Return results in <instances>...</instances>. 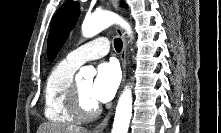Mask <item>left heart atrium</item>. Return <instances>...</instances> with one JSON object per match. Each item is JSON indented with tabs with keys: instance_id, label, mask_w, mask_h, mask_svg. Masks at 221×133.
Wrapping results in <instances>:
<instances>
[{
	"instance_id": "1",
	"label": "left heart atrium",
	"mask_w": 221,
	"mask_h": 133,
	"mask_svg": "<svg viewBox=\"0 0 221 133\" xmlns=\"http://www.w3.org/2000/svg\"><path fill=\"white\" fill-rule=\"evenodd\" d=\"M120 72L114 62H104L97 67L96 77L91 87L94 102L110 101L119 86Z\"/></svg>"
}]
</instances>
